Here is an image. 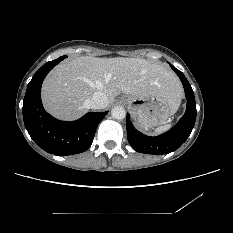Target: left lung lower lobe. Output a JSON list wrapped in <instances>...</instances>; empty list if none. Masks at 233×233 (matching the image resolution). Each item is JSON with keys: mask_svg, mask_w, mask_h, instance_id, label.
<instances>
[{"mask_svg": "<svg viewBox=\"0 0 233 233\" xmlns=\"http://www.w3.org/2000/svg\"><path fill=\"white\" fill-rule=\"evenodd\" d=\"M171 67L183 84L187 98L186 112L171 130L157 137H149L137 131L130 121V115L127 113L126 127L128 142L137 152L154 155L173 152L187 140L194 127L196 120V102L192 87L181 71L173 65Z\"/></svg>", "mask_w": 233, "mask_h": 233, "instance_id": "0a47b994", "label": "left lung lower lobe"}]
</instances>
